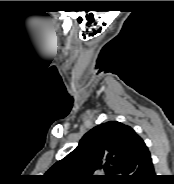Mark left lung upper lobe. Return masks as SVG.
<instances>
[{"label":"left lung upper lobe","instance_id":"obj_1","mask_svg":"<svg viewBox=\"0 0 174 184\" xmlns=\"http://www.w3.org/2000/svg\"><path fill=\"white\" fill-rule=\"evenodd\" d=\"M139 140L130 126L117 121L102 123L88 131L76 149L46 174L54 184L122 182Z\"/></svg>","mask_w":174,"mask_h":184}]
</instances>
